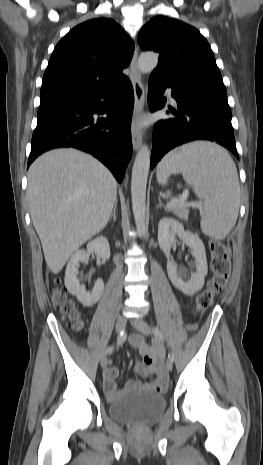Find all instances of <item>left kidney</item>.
I'll return each mask as SVG.
<instances>
[{
	"label": "left kidney",
	"mask_w": 263,
	"mask_h": 465,
	"mask_svg": "<svg viewBox=\"0 0 263 465\" xmlns=\"http://www.w3.org/2000/svg\"><path fill=\"white\" fill-rule=\"evenodd\" d=\"M176 236L182 239L192 250V256L196 263V272L187 281L178 272L177 265L173 262L170 254L171 247L176 242ZM158 243L167 258V273L174 286L190 296L201 290L208 272V266L205 247L199 236L190 231H185L179 221L173 218H163L158 224Z\"/></svg>",
	"instance_id": "1"
}]
</instances>
